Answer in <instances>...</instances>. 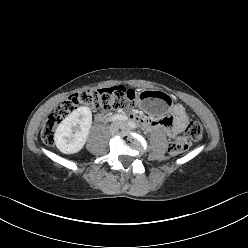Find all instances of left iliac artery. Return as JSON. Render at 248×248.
Returning a JSON list of instances; mask_svg holds the SVG:
<instances>
[{
    "label": "left iliac artery",
    "instance_id": "1",
    "mask_svg": "<svg viewBox=\"0 0 248 248\" xmlns=\"http://www.w3.org/2000/svg\"><path fill=\"white\" fill-rule=\"evenodd\" d=\"M128 125L131 127V128H137V125L132 122V121H128Z\"/></svg>",
    "mask_w": 248,
    "mask_h": 248
}]
</instances>
